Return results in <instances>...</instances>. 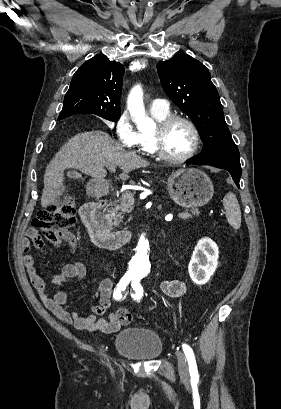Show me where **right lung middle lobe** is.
Returning a JSON list of instances; mask_svg holds the SVG:
<instances>
[{
	"mask_svg": "<svg viewBox=\"0 0 281 409\" xmlns=\"http://www.w3.org/2000/svg\"><path fill=\"white\" fill-rule=\"evenodd\" d=\"M99 116L113 122H117L120 118V115H99Z\"/></svg>",
	"mask_w": 281,
	"mask_h": 409,
	"instance_id": "dd1d6c3e",
	"label": "right lung middle lobe"
}]
</instances>
